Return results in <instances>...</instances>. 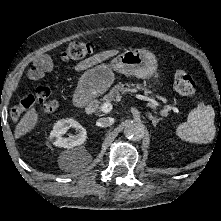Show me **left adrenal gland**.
<instances>
[{
    "mask_svg": "<svg viewBox=\"0 0 221 221\" xmlns=\"http://www.w3.org/2000/svg\"><path fill=\"white\" fill-rule=\"evenodd\" d=\"M147 117H148L150 120H152V123H153V126H154V127H156L157 123L162 120L161 118H156V117H154L151 113H148V114H147Z\"/></svg>",
    "mask_w": 221,
    "mask_h": 221,
    "instance_id": "obj_1",
    "label": "left adrenal gland"
}]
</instances>
